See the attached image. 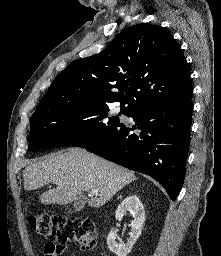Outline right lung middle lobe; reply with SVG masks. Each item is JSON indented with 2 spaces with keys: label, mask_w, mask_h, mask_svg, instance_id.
<instances>
[{
  "label": "right lung middle lobe",
  "mask_w": 221,
  "mask_h": 256,
  "mask_svg": "<svg viewBox=\"0 0 221 256\" xmlns=\"http://www.w3.org/2000/svg\"><path fill=\"white\" fill-rule=\"evenodd\" d=\"M121 114L133 113L121 106L112 116L108 104H78L35 113L30 119L29 149L58 145H82L120 123Z\"/></svg>",
  "instance_id": "dd1d6c3e"
}]
</instances>
